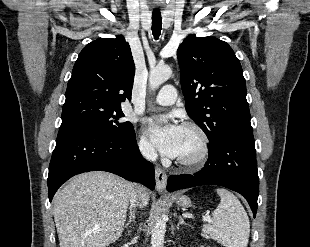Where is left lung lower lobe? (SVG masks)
<instances>
[{
  "mask_svg": "<svg viewBox=\"0 0 310 247\" xmlns=\"http://www.w3.org/2000/svg\"><path fill=\"white\" fill-rule=\"evenodd\" d=\"M204 168L193 175H173L167 190L174 191L199 185H219L234 190L248 201L254 217L257 212L259 178L252 132L240 133L209 147Z\"/></svg>",
  "mask_w": 310,
  "mask_h": 247,
  "instance_id": "1",
  "label": "left lung lower lobe"
}]
</instances>
